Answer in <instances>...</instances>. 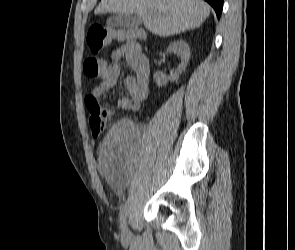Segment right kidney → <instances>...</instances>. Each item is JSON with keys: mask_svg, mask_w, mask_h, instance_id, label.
Masks as SVG:
<instances>
[{"mask_svg": "<svg viewBox=\"0 0 295 250\" xmlns=\"http://www.w3.org/2000/svg\"><path fill=\"white\" fill-rule=\"evenodd\" d=\"M168 53H176L178 56L181 57V63L179 64L177 70L173 75L170 77H166L162 72L156 71L154 73V81L156 82L157 86L162 87L165 86L168 81L176 80L179 75L186 69V66L190 60L191 52L189 45L184 40H177L170 43L169 47L167 48Z\"/></svg>", "mask_w": 295, "mask_h": 250, "instance_id": "ca27d5eb", "label": "right kidney"}]
</instances>
